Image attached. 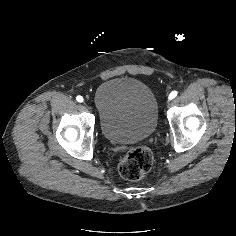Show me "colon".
<instances>
[{
  "label": "colon",
  "instance_id": "1",
  "mask_svg": "<svg viewBox=\"0 0 236 236\" xmlns=\"http://www.w3.org/2000/svg\"><path fill=\"white\" fill-rule=\"evenodd\" d=\"M153 160V153L149 148H134L120 161L119 173L126 180L138 181L150 170Z\"/></svg>",
  "mask_w": 236,
  "mask_h": 236
}]
</instances>
